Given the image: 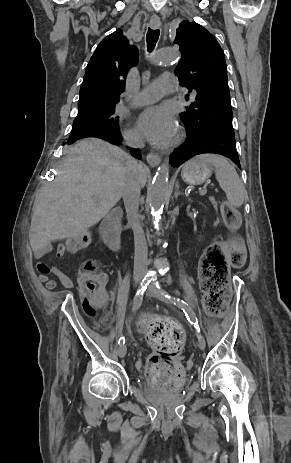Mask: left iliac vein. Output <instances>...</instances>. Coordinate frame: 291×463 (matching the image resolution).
Segmentation results:
<instances>
[{
    "instance_id": "obj_1",
    "label": "left iliac vein",
    "mask_w": 291,
    "mask_h": 463,
    "mask_svg": "<svg viewBox=\"0 0 291 463\" xmlns=\"http://www.w3.org/2000/svg\"><path fill=\"white\" fill-rule=\"evenodd\" d=\"M147 295L155 297L166 304L173 303L171 300L167 299L162 294H160L159 291H157L154 287L149 288V290L147 291ZM198 346L202 351L205 349L206 346L205 338L201 333L198 334Z\"/></svg>"
}]
</instances>
